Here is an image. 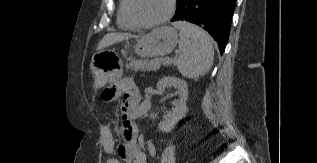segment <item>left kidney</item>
<instances>
[{"label":"left kidney","instance_id":"5707ae66","mask_svg":"<svg viewBox=\"0 0 317 163\" xmlns=\"http://www.w3.org/2000/svg\"><path fill=\"white\" fill-rule=\"evenodd\" d=\"M171 87L177 90L176 93L179 95V99L173 102L174 107L163 117V120L158 125L159 130L164 132L171 131L185 116L187 111L188 85L186 81L180 78L166 76L161 78L157 83V89L160 93H163L165 88Z\"/></svg>","mask_w":317,"mask_h":163}]
</instances>
